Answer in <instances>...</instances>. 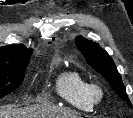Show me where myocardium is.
Wrapping results in <instances>:
<instances>
[{
	"label": "myocardium",
	"mask_w": 133,
	"mask_h": 118,
	"mask_svg": "<svg viewBox=\"0 0 133 118\" xmlns=\"http://www.w3.org/2000/svg\"><path fill=\"white\" fill-rule=\"evenodd\" d=\"M90 93H91L92 101L95 104L100 103L104 98L103 89L100 86L96 85V84H91Z\"/></svg>",
	"instance_id": "myocardium-1"
}]
</instances>
